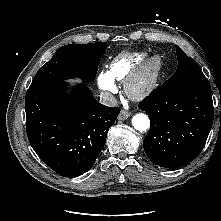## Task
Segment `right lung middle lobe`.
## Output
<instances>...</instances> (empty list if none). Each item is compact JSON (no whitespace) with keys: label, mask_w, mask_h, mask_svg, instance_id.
Instances as JSON below:
<instances>
[{"label":"right lung middle lobe","mask_w":221,"mask_h":221,"mask_svg":"<svg viewBox=\"0 0 221 221\" xmlns=\"http://www.w3.org/2000/svg\"><path fill=\"white\" fill-rule=\"evenodd\" d=\"M106 48V42L60 47L52 59L38 70L29 89L75 77L94 79Z\"/></svg>","instance_id":"right-lung-middle-lobe-1"}]
</instances>
